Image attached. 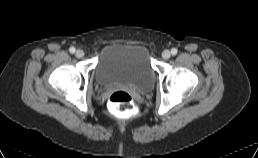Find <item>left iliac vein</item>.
<instances>
[{"label": "left iliac vein", "mask_w": 258, "mask_h": 158, "mask_svg": "<svg viewBox=\"0 0 258 158\" xmlns=\"http://www.w3.org/2000/svg\"><path fill=\"white\" fill-rule=\"evenodd\" d=\"M170 56H171V53H170L169 50H164V51L162 52V57H163L164 59H169Z\"/></svg>", "instance_id": "left-iliac-vein-1"}]
</instances>
